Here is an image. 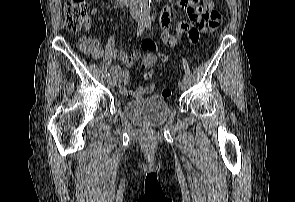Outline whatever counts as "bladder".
Segmentation results:
<instances>
[{
	"label": "bladder",
	"mask_w": 295,
	"mask_h": 202,
	"mask_svg": "<svg viewBox=\"0 0 295 202\" xmlns=\"http://www.w3.org/2000/svg\"><path fill=\"white\" fill-rule=\"evenodd\" d=\"M123 113L132 122L155 126L166 122L172 113V109L165 98L152 95L128 102L123 107Z\"/></svg>",
	"instance_id": "1"
}]
</instances>
